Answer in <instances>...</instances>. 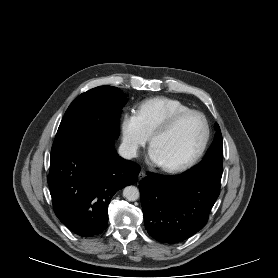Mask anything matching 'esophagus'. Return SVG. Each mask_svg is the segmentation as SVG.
<instances>
[{
	"label": "esophagus",
	"mask_w": 278,
	"mask_h": 278,
	"mask_svg": "<svg viewBox=\"0 0 278 278\" xmlns=\"http://www.w3.org/2000/svg\"><path fill=\"white\" fill-rule=\"evenodd\" d=\"M146 177V173L144 171H140V173L138 174V179L142 180Z\"/></svg>",
	"instance_id": "obj_1"
}]
</instances>
